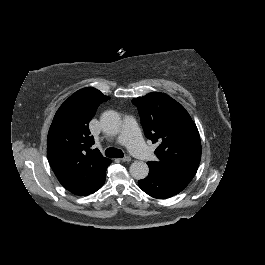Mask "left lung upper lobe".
<instances>
[{
	"label": "left lung upper lobe",
	"instance_id": "left-lung-upper-lobe-1",
	"mask_svg": "<svg viewBox=\"0 0 265 265\" xmlns=\"http://www.w3.org/2000/svg\"><path fill=\"white\" fill-rule=\"evenodd\" d=\"M145 136L159 146L157 161L148 162L150 171L193 178L201 159L198 129L185 108L164 93L153 92L134 98Z\"/></svg>",
	"mask_w": 265,
	"mask_h": 265
}]
</instances>
